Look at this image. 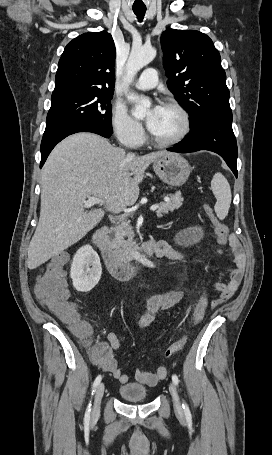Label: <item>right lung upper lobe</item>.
<instances>
[{"mask_svg": "<svg viewBox=\"0 0 272 455\" xmlns=\"http://www.w3.org/2000/svg\"><path fill=\"white\" fill-rule=\"evenodd\" d=\"M114 63L111 34L101 31L78 36L61 55L51 99L113 94Z\"/></svg>", "mask_w": 272, "mask_h": 455, "instance_id": "1", "label": "right lung upper lobe"}]
</instances>
